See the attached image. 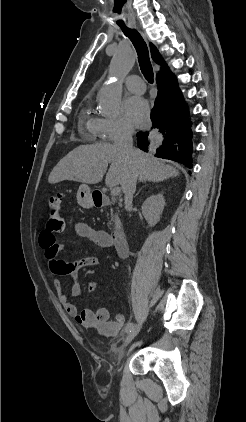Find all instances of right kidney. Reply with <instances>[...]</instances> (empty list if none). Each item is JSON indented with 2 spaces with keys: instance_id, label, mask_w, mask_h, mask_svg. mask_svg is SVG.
Here are the masks:
<instances>
[{
  "instance_id": "ca27d5eb",
  "label": "right kidney",
  "mask_w": 246,
  "mask_h": 422,
  "mask_svg": "<svg viewBox=\"0 0 246 422\" xmlns=\"http://www.w3.org/2000/svg\"><path fill=\"white\" fill-rule=\"evenodd\" d=\"M164 206L165 199L162 194L152 195L143 202L142 214L150 227L159 222Z\"/></svg>"
}]
</instances>
